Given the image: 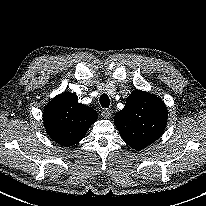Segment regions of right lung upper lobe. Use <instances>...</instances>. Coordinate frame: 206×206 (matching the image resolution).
<instances>
[{
    "mask_svg": "<svg viewBox=\"0 0 206 206\" xmlns=\"http://www.w3.org/2000/svg\"><path fill=\"white\" fill-rule=\"evenodd\" d=\"M97 118L94 109L79 103L77 95L69 92L54 97L43 113L47 134L67 147L77 144Z\"/></svg>",
    "mask_w": 206,
    "mask_h": 206,
    "instance_id": "obj_1",
    "label": "right lung upper lobe"
}]
</instances>
